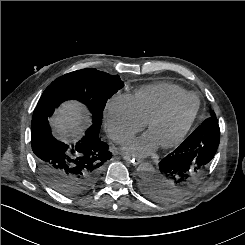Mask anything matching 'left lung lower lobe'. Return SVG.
I'll return each instance as SVG.
<instances>
[{
  "label": "left lung lower lobe",
  "instance_id": "1",
  "mask_svg": "<svg viewBox=\"0 0 245 245\" xmlns=\"http://www.w3.org/2000/svg\"><path fill=\"white\" fill-rule=\"evenodd\" d=\"M219 141L217 120L206 119L178 148L159 162L156 177L143 183V192L159 201L170 200L184 193L209 165Z\"/></svg>",
  "mask_w": 245,
  "mask_h": 245
}]
</instances>
